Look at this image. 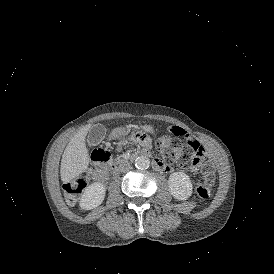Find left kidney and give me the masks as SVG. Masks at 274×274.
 I'll list each match as a JSON object with an SVG mask.
<instances>
[{"label": "left kidney", "mask_w": 274, "mask_h": 274, "mask_svg": "<svg viewBox=\"0 0 274 274\" xmlns=\"http://www.w3.org/2000/svg\"><path fill=\"white\" fill-rule=\"evenodd\" d=\"M169 192L177 200H187L192 195V183L188 175L174 172L168 180Z\"/></svg>", "instance_id": "5707ae66"}]
</instances>
